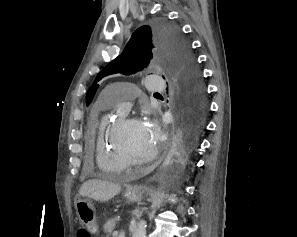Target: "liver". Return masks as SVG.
Returning a JSON list of instances; mask_svg holds the SVG:
<instances>
[{
	"label": "liver",
	"instance_id": "6515ba94",
	"mask_svg": "<svg viewBox=\"0 0 297 237\" xmlns=\"http://www.w3.org/2000/svg\"><path fill=\"white\" fill-rule=\"evenodd\" d=\"M120 191L121 186L119 184L99 179H92L82 184L79 194L83 197H89L96 201L107 202L119 194Z\"/></svg>",
	"mask_w": 297,
	"mask_h": 237
}]
</instances>
